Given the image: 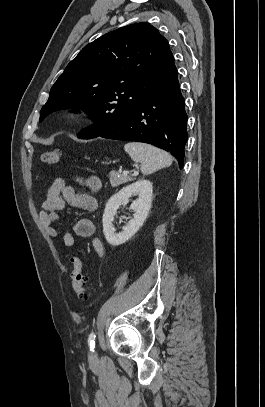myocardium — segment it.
Returning a JSON list of instances; mask_svg holds the SVG:
<instances>
[{
    "label": "myocardium",
    "mask_w": 265,
    "mask_h": 407,
    "mask_svg": "<svg viewBox=\"0 0 265 407\" xmlns=\"http://www.w3.org/2000/svg\"><path fill=\"white\" fill-rule=\"evenodd\" d=\"M67 115L69 118L78 120L87 115V111L82 107H72L68 110Z\"/></svg>",
    "instance_id": "f54148a6"
}]
</instances>
